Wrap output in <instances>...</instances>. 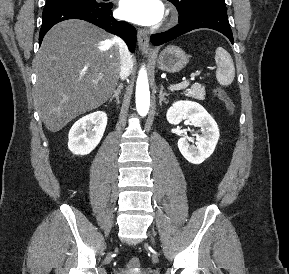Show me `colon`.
I'll return each instance as SVG.
<instances>
[{
  "instance_id": "5ec220e1",
  "label": "colon",
  "mask_w": 289,
  "mask_h": 274,
  "mask_svg": "<svg viewBox=\"0 0 289 274\" xmlns=\"http://www.w3.org/2000/svg\"><path fill=\"white\" fill-rule=\"evenodd\" d=\"M215 95L216 97L221 100L226 109L229 111V113H233L234 112V103L233 101L231 100V98L227 95V93L221 89V88H217L215 90ZM140 268V262L137 258H131L129 261H128V269L129 270H132V271H138Z\"/></svg>"
}]
</instances>
